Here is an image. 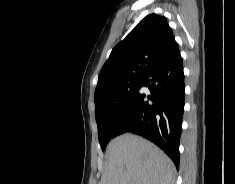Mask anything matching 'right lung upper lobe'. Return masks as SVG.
<instances>
[{
	"instance_id": "cb5924a9",
	"label": "right lung upper lobe",
	"mask_w": 235,
	"mask_h": 184,
	"mask_svg": "<svg viewBox=\"0 0 235 184\" xmlns=\"http://www.w3.org/2000/svg\"><path fill=\"white\" fill-rule=\"evenodd\" d=\"M178 50V44L165 17L150 14L143 18L114 47L104 64L95 90L96 107L109 102V89L143 80L156 65Z\"/></svg>"
}]
</instances>
